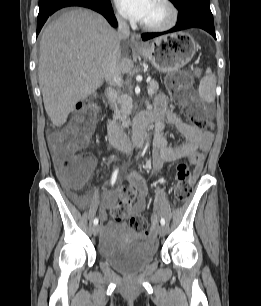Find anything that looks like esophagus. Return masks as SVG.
I'll return each instance as SVG.
<instances>
[{"label": "esophagus", "instance_id": "34e87169", "mask_svg": "<svg viewBox=\"0 0 261 306\" xmlns=\"http://www.w3.org/2000/svg\"><path fill=\"white\" fill-rule=\"evenodd\" d=\"M130 44H131V47L133 49H137V50H139L143 47V45L140 41V38H139L138 34H136V33H132L131 39H130Z\"/></svg>", "mask_w": 261, "mask_h": 306}]
</instances>
